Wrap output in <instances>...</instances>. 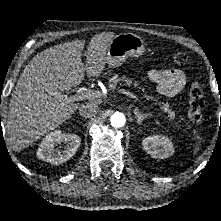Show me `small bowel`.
Here are the masks:
<instances>
[{
	"mask_svg": "<svg viewBox=\"0 0 221 221\" xmlns=\"http://www.w3.org/2000/svg\"><path fill=\"white\" fill-rule=\"evenodd\" d=\"M147 77L156 84L157 92L165 97H174L186 85L185 74L177 69L150 70Z\"/></svg>",
	"mask_w": 221,
	"mask_h": 221,
	"instance_id": "1",
	"label": "small bowel"
}]
</instances>
